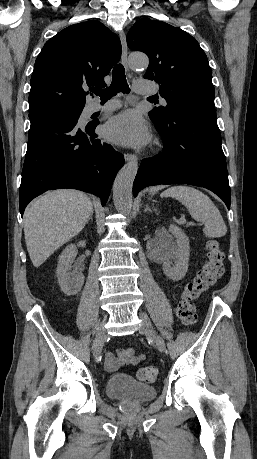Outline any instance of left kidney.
I'll return each instance as SVG.
<instances>
[{
	"instance_id": "1",
	"label": "left kidney",
	"mask_w": 257,
	"mask_h": 459,
	"mask_svg": "<svg viewBox=\"0 0 257 459\" xmlns=\"http://www.w3.org/2000/svg\"><path fill=\"white\" fill-rule=\"evenodd\" d=\"M168 232L174 235L176 239L175 243L164 240ZM168 232L163 230L161 234L160 256L163 261V271L168 278L173 281H179L185 277L188 270L190 256L189 239L184 231L176 225H170ZM174 258L176 261L175 265L172 266L170 260Z\"/></svg>"
}]
</instances>
